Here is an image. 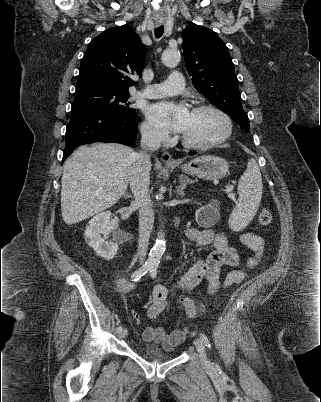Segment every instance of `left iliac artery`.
Instances as JSON below:
<instances>
[{
	"instance_id": "left-iliac-artery-1",
	"label": "left iliac artery",
	"mask_w": 321,
	"mask_h": 402,
	"mask_svg": "<svg viewBox=\"0 0 321 402\" xmlns=\"http://www.w3.org/2000/svg\"><path fill=\"white\" fill-rule=\"evenodd\" d=\"M149 272H150L151 277L154 278L157 274V266H152L151 269L149 270ZM200 339L207 347H210L209 339L205 334L201 333Z\"/></svg>"
}]
</instances>
